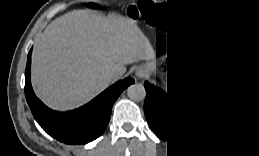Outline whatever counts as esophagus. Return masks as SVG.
<instances>
[{
	"mask_svg": "<svg viewBox=\"0 0 259 156\" xmlns=\"http://www.w3.org/2000/svg\"><path fill=\"white\" fill-rule=\"evenodd\" d=\"M139 76L142 78V77H143V74H142V73H139Z\"/></svg>",
	"mask_w": 259,
	"mask_h": 156,
	"instance_id": "esophagus-1",
	"label": "esophagus"
}]
</instances>
